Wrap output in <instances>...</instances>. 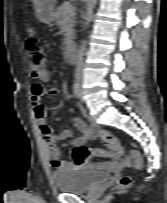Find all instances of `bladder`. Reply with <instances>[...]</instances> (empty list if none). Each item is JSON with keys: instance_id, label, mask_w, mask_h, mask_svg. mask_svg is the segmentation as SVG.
<instances>
[{"instance_id": "31cf9c89", "label": "bladder", "mask_w": 167, "mask_h": 203, "mask_svg": "<svg viewBox=\"0 0 167 203\" xmlns=\"http://www.w3.org/2000/svg\"><path fill=\"white\" fill-rule=\"evenodd\" d=\"M52 179L58 190L71 194H81L98 184L107 182L110 175L97 170L62 168L52 173Z\"/></svg>"}]
</instances>
